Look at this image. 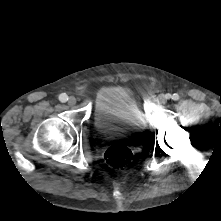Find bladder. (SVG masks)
I'll use <instances>...</instances> for the list:
<instances>
[{
	"instance_id": "1",
	"label": "bladder",
	"mask_w": 221,
	"mask_h": 221,
	"mask_svg": "<svg viewBox=\"0 0 221 221\" xmlns=\"http://www.w3.org/2000/svg\"><path fill=\"white\" fill-rule=\"evenodd\" d=\"M94 126L102 135L141 133L147 126L131 93L110 87L97 97L94 111Z\"/></svg>"
}]
</instances>
